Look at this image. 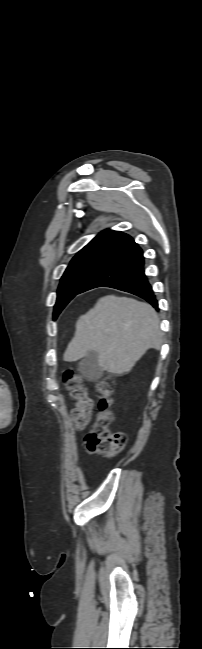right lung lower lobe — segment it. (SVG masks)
<instances>
[{"label":"right lung lower lobe","instance_id":"98d812e1","mask_svg":"<svg viewBox=\"0 0 202 649\" xmlns=\"http://www.w3.org/2000/svg\"><path fill=\"white\" fill-rule=\"evenodd\" d=\"M96 287H112L135 294L157 308L156 296L144 273L142 249L137 245L112 258L99 269L79 293Z\"/></svg>","mask_w":202,"mask_h":649}]
</instances>
